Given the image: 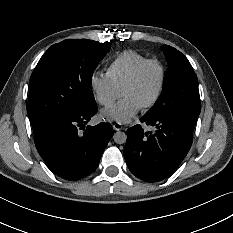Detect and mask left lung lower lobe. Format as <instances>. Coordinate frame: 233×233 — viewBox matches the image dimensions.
Masks as SVG:
<instances>
[{"label":"left lung lower lobe","instance_id":"1","mask_svg":"<svg viewBox=\"0 0 233 233\" xmlns=\"http://www.w3.org/2000/svg\"><path fill=\"white\" fill-rule=\"evenodd\" d=\"M140 121L156 127V131L144 132L141 125L127 130L124 148L127 166L132 174L146 182L164 180L178 168L187 155L197 120H155L142 117Z\"/></svg>","mask_w":233,"mask_h":233}]
</instances>
